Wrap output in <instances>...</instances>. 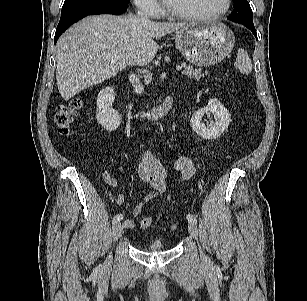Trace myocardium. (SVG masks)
<instances>
[{"label":"myocardium","mask_w":307,"mask_h":301,"mask_svg":"<svg viewBox=\"0 0 307 301\" xmlns=\"http://www.w3.org/2000/svg\"><path fill=\"white\" fill-rule=\"evenodd\" d=\"M231 5L232 0H225V5L220 11L211 14H189L174 9L167 4V13L172 17L186 21H209L218 19L227 14L231 8Z\"/></svg>","instance_id":"f54148a6"}]
</instances>
